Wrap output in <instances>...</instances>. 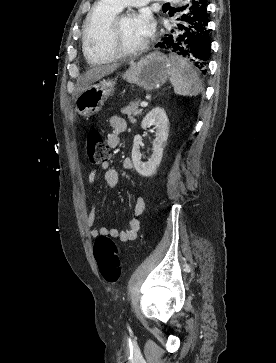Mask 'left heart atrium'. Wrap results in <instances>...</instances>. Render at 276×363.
Segmentation results:
<instances>
[{"label":"left heart atrium","instance_id":"left-heart-atrium-1","mask_svg":"<svg viewBox=\"0 0 276 363\" xmlns=\"http://www.w3.org/2000/svg\"><path fill=\"white\" fill-rule=\"evenodd\" d=\"M137 24L141 32L148 38L155 30V21L151 14L147 11H143L136 16Z\"/></svg>","mask_w":276,"mask_h":363}]
</instances>
